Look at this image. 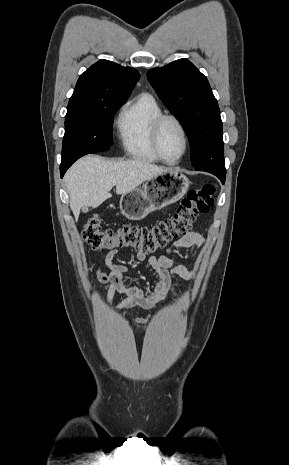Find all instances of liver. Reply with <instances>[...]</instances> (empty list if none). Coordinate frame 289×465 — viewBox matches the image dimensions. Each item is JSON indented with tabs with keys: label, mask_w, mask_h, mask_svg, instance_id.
<instances>
[{
	"label": "liver",
	"mask_w": 289,
	"mask_h": 465,
	"mask_svg": "<svg viewBox=\"0 0 289 465\" xmlns=\"http://www.w3.org/2000/svg\"><path fill=\"white\" fill-rule=\"evenodd\" d=\"M171 170L143 160L112 161L98 156H85L66 172L64 181L70 198V208L77 220L82 207L97 208L112 195H123L141 183Z\"/></svg>",
	"instance_id": "1"
}]
</instances>
